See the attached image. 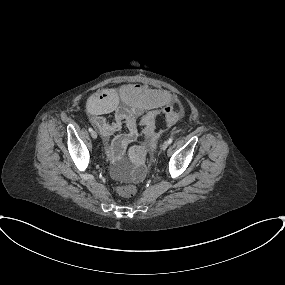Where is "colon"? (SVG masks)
Returning <instances> with one entry per match:
<instances>
[{"label":"colon","mask_w":285,"mask_h":285,"mask_svg":"<svg viewBox=\"0 0 285 285\" xmlns=\"http://www.w3.org/2000/svg\"><path fill=\"white\" fill-rule=\"evenodd\" d=\"M177 108V106H175ZM159 114L151 111L146 113L141 118V125H142V133L147 138H154L156 136V129H157V119ZM176 116L173 117L175 119ZM147 171V164L146 162L139 156V160L133 166L127 181L129 183H137L141 181ZM133 190L132 186H124L121 188V192L124 194H128Z\"/></svg>","instance_id":"obj_1"}]
</instances>
